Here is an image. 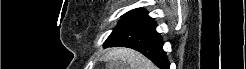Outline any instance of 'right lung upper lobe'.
<instances>
[{
  "instance_id": "obj_1",
  "label": "right lung upper lobe",
  "mask_w": 246,
  "mask_h": 69,
  "mask_svg": "<svg viewBox=\"0 0 246 69\" xmlns=\"http://www.w3.org/2000/svg\"><path fill=\"white\" fill-rule=\"evenodd\" d=\"M147 14V11L142 8L133 9L123 15V17H143Z\"/></svg>"
}]
</instances>
